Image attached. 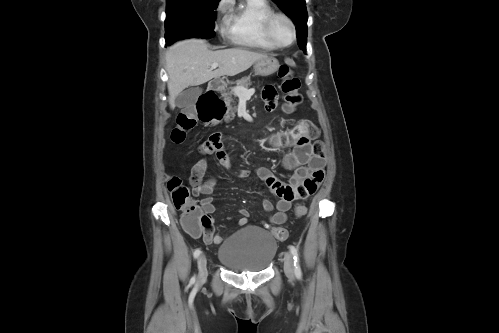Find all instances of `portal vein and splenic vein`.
Returning a JSON list of instances; mask_svg holds the SVG:
<instances>
[{"label":"portal vein and splenic vein","mask_w":499,"mask_h":333,"mask_svg":"<svg viewBox=\"0 0 499 333\" xmlns=\"http://www.w3.org/2000/svg\"><path fill=\"white\" fill-rule=\"evenodd\" d=\"M219 65H220L219 63H213L211 65V69H215ZM233 91H234L235 95H237L239 98H244V99L250 98L254 93V90H248L247 88L242 87V86H236L233 89Z\"/></svg>","instance_id":"obj_1"}]
</instances>
